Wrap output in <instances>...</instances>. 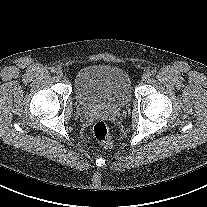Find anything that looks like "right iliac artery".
I'll list each match as a JSON object with an SVG mask.
<instances>
[{
    "mask_svg": "<svg viewBox=\"0 0 207 207\" xmlns=\"http://www.w3.org/2000/svg\"><path fill=\"white\" fill-rule=\"evenodd\" d=\"M50 71L54 73V72H56V68L55 67H51Z\"/></svg>",
    "mask_w": 207,
    "mask_h": 207,
    "instance_id": "1",
    "label": "right iliac artery"
}]
</instances>
